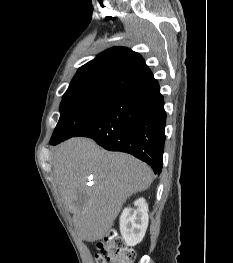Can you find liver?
<instances>
[{"label":"liver","mask_w":233,"mask_h":263,"mask_svg":"<svg viewBox=\"0 0 233 263\" xmlns=\"http://www.w3.org/2000/svg\"><path fill=\"white\" fill-rule=\"evenodd\" d=\"M52 164L64 206L73 214L75 231L88 242L102 239L127 198L146 190L153 180L144 162L129 154L107 152L84 137L57 146ZM89 176L93 177L91 186Z\"/></svg>","instance_id":"6515ba94"}]
</instances>
